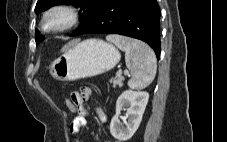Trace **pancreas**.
<instances>
[{
    "instance_id": "1",
    "label": "pancreas",
    "mask_w": 227,
    "mask_h": 142,
    "mask_svg": "<svg viewBox=\"0 0 227 142\" xmlns=\"http://www.w3.org/2000/svg\"><path fill=\"white\" fill-rule=\"evenodd\" d=\"M124 80V77L121 76V74H117L115 78L111 80V83H113V86H122V82Z\"/></svg>"
}]
</instances>
